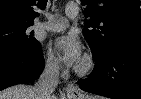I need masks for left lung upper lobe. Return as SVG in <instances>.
I'll list each match as a JSON object with an SVG mask.
<instances>
[{"mask_svg": "<svg viewBox=\"0 0 141 99\" xmlns=\"http://www.w3.org/2000/svg\"><path fill=\"white\" fill-rule=\"evenodd\" d=\"M86 5L83 34L93 56L116 46L141 47L139 0H81Z\"/></svg>", "mask_w": 141, "mask_h": 99, "instance_id": "1", "label": "left lung upper lobe"}]
</instances>
